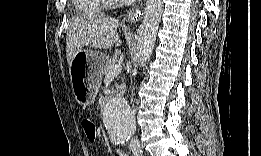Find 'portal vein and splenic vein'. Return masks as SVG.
<instances>
[{
    "label": "portal vein and splenic vein",
    "mask_w": 261,
    "mask_h": 156,
    "mask_svg": "<svg viewBox=\"0 0 261 156\" xmlns=\"http://www.w3.org/2000/svg\"><path fill=\"white\" fill-rule=\"evenodd\" d=\"M122 70L121 64H115L111 67L108 76H115L118 75Z\"/></svg>",
    "instance_id": "obj_1"
}]
</instances>
